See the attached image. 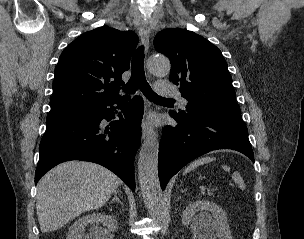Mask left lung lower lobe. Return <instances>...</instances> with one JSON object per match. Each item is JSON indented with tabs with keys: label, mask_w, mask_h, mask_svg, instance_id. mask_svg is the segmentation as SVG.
Returning <instances> with one entry per match:
<instances>
[{
	"label": "left lung lower lobe",
	"mask_w": 304,
	"mask_h": 239,
	"mask_svg": "<svg viewBox=\"0 0 304 239\" xmlns=\"http://www.w3.org/2000/svg\"><path fill=\"white\" fill-rule=\"evenodd\" d=\"M176 126L164 127L159 146L158 174L161 188L193 159L217 149H233L254 162L247 127L242 119L222 116L183 117L169 112Z\"/></svg>",
	"instance_id": "1"
}]
</instances>
